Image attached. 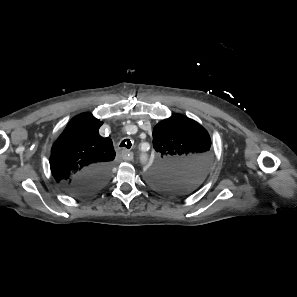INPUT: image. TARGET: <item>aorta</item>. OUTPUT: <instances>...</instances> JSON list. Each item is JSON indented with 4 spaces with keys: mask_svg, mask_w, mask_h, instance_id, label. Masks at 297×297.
<instances>
[{
    "mask_svg": "<svg viewBox=\"0 0 297 297\" xmlns=\"http://www.w3.org/2000/svg\"><path fill=\"white\" fill-rule=\"evenodd\" d=\"M141 160H142L143 162H146V160H147L146 156H142V157H141Z\"/></svg>",
    "mask_w": 297,
    "mask_h": 297,
    "instance_id": "obj_1",
    "label": "aorta"
}]
</instances>
